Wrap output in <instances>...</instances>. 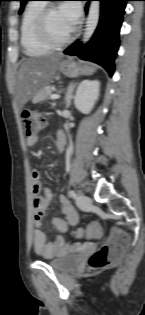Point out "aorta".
<instances>
[{
    "instance_id": "aorta-1",
    "label": "aorta",
    "mask_w": 145,
    "mask_h": 315,
    "mask_svg": "<svg viewBox=\"0 0 145 315\" xmlns=\"http://www.w3.org/2000/svg\"><path fill=\"white\" fill-rule=\"evenodd\" d=\"M100 17V2L92 1L89 7L88 16L86 19V25L83 33L82 41L88 42L94 34Z\"/></svg>"
}]
</instances>
